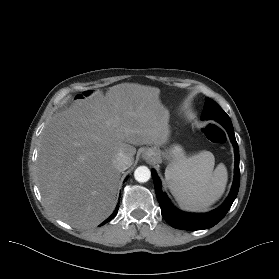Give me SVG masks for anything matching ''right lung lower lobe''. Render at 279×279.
I'll return each mask as SVG.
<instances>
[{"label":"right lung lower lobe","mask_w":279,"mask_h":279,"mask_svg":"<svg viewBox=\"0 0 279 279\" xmlns=\"http://www.w3.org/2000/svg\"><path fill=\"white\" fill-rule=\"evenodd\" d=\"M119 206L116 207L114 213L107 219L105 220L101 225L105 224L106 222L110 221L111 219H113L115 217V215L117 214Z\"/></svg>","instance_id":"right-lung-lower-lobe-1"}]
</instances>
